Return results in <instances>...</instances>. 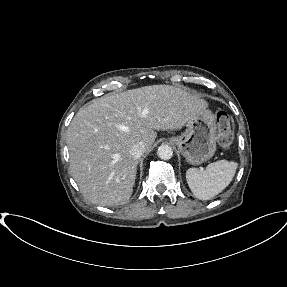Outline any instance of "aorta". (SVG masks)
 Returning <instances> with one entry per match:
<instances>
[{
  "label": "aorta",
  "instance_id": "aorta-1",
  "mask_svg": "<svg viewBox=\"0 0 287 287\" xmlns=\"http://www.w3.org/2000/svg\"><path fill=\"white\" fill-rule=\"evenodd\" d=\"M157 154L163 160H169L173 156V150L168 145H161L158 147Z\"/></svg>",
  "mask_w": 287,
  "mask_h": 287
}]
</instances>
